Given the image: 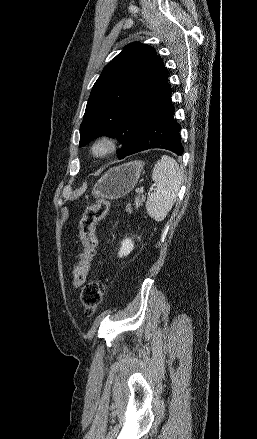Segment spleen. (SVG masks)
<instances>
[{
    "label": "spleen",
    "mask_w": 257,
    "mask_h": 439,
    "mask_svg": "<svg viewBox=\"0 0 257 439\" xmlns=\"http://www.w3.org/2000/svg\"><path fill=\"white\" fill-rule=\"evenodd\" d=\"M182 178L179 165L173 158L163 155L155 164L152 171L155 189L148 196L146 210L156 222L163 221L172 209Z\"/></svg>",
    "instance_id": "1"
}]
</instances>
